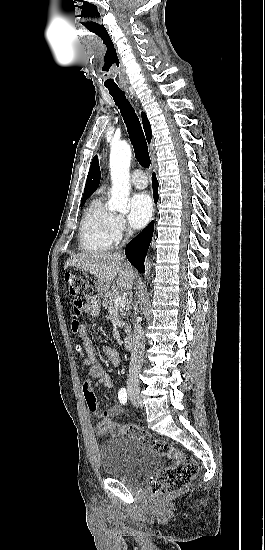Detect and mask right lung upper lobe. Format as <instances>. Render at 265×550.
I'll list each match as a JSON object with an SVG mask.
<instances>
[{"label": "right lung upper lobe", "instance_id": "obj_1", "mask_svg": "<svg viewBox=\"0 0 265 550\" xmlns=\"http://www.w3.org/2000/svg\"><path fill=\"white\" fill-rule=\"evenodd\" d=\"M141 116H142V123H143V128H144V131H145V134H146V138H147L148 142H150L151 138H152L150 123H149L145 113L142 112ZM100 176H101V174H100V169H99V165H98V158H97V156H95L92 160L91 167H90V170H89V173H88V177H87V181H86V185H85V189H84L83 199L89 198L92 195V193L95 191V189L97 188V186L99 184Z\"/></svg>", "mask_w": 265, "mask_h": 550}]
</instances>
